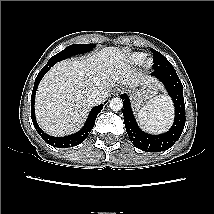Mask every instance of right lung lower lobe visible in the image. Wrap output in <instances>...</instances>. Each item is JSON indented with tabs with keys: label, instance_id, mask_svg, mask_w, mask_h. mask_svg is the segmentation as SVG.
I'll use <instances>...</instances> for the list:
<instances>
[{
	"label": "right lung lower lobe",
	"instance_id": "obj_1",
	"mask_svg": "<svg viewBox=\"0 0 214 214\" xmlns=\"http://www.w3.org/2000/svg\"><path fill=\"white\" fill-rule=\"evenodd\" d=\"M55 63L53 62H48L42 70L39 72L35 79L32 95H31V118L33 125L38 132V134L50 145L54 147H60V148H66V147H73L81 142H83L89 135L91 129L94 127L96 117L98 113L102 110L103 104L95 106L92 108L90 111L87 121L83 128L78 131L75 134L65 136V137H53L48 134H46L37 124L36 118H35V111H34V102H35V95H36V90L38 88V84L43 78V76L46 74V72L54 65Z\"/></svg>",
	"mask_w": 214,
	"mask_h": 214
}]
</instances>
